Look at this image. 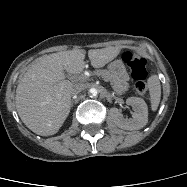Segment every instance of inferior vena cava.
Returning a JSON list of instances; mask_svg holds the SVG:
<instances>
[{
    "mask_svg": "<svg viewBox=\"0 0 187 187\" xmlns=\"http://www.w3.org/2000/svg\"><path fill=\"white\" fill-rule=\"evenodd\" d=\"M83 90V85L82 84H75L73 85L71 89V95L74 96L78 93H80Z\"/></svg>",
    "mask_w": 187,
    "mask_h": 187,
    "instance_id": "602c4592",
    "label": "inferior vena cava"
}]
</instances>
